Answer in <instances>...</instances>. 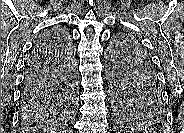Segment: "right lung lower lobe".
Here are the masks:
<instances>
[{
  "label": "right lung lower lobe",
  "instance_id": "1",
  "mask_svg": "<svg viewBox=\"0 0 184 133\" xmlns=\"http://www.w3.org/2000/svg\"><path fill=\"white\" fill-rule=\"evenodd\" d=\"M66 47L50 33L37 39L26 61L21 102L51 99L63 79L62 51Z\"/></svg>",
  "mask_w": 184,
  "mask_h": 133
}]
</instances>
